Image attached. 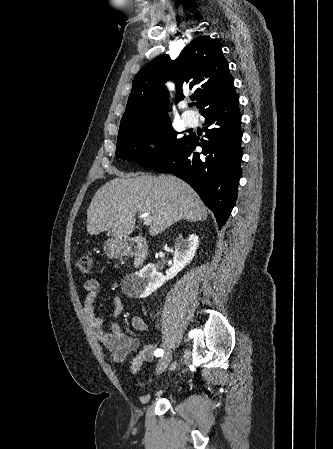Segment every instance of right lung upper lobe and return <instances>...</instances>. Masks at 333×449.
<instances>
[{
  "label": "right lung upper lobe",
  "instance_id": "right-lung-upper-lobe-1",
  "mask_svg": "<svg viewBox=\"0 0 333 449\" xmlns=\"http://www.w3.org/2000/svg\"><path fill=\"white\" fill-rule=\"evenodd\" d=\"M167 78L176 85V102L183 100V88L194 89L197 108L201 111L210 102L235 91L233 77L221 46L209 36H198L172 61L167 54L147 63L136 75L127 107L121 119L118 139L125 131L142 130L170 121L166 115Z\"/></svg>",
  "mask_w": 333,
  "mask_h": 449
}]
</instances>
